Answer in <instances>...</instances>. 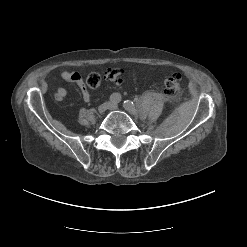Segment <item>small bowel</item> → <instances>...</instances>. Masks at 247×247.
Listing matches in <instances>:
<instances>
[{"label": "small bowel", "mask_w": 247, "mask_h": 247, "mask_svg": "<svg viewBox=\"0 0 247 247\" xmlns=\"http://www.w3.org/2000/svg\"><path fill=\"white\" fill-rule=\"evenodd\" d=\"M116 71H117V77L110 81L115 84H120L121 82L120 76L124 73V70L122 68H117ZM60 76L64 81L75 83L76 85L79 86L84 101L88 102L90 100L91 98L90 93L86 89L83 78L78 72L63 71ZM66 95H67V88L65 86H59L55 92L54 97L56 101H62Z\"/></svg>", "instance_id": "small-bowel-1"}]
</instances>
